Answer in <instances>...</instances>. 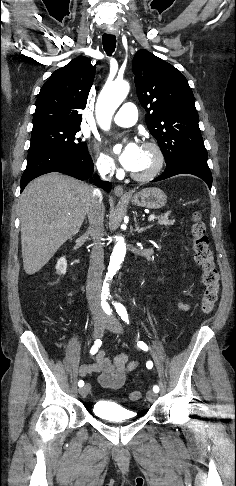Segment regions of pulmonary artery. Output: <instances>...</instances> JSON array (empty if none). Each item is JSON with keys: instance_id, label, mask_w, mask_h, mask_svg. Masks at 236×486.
Wrapping results in <instances>:
<instances>
[{"instance_id": "e3ab8cb5", "label": "pulmonary artery", "mask_w": 236, "mask_h": 486, "mask_svg": "<svg viewBox=\"0 0 236 486\" xmlns=\"http://www.w3.org/2000/svg\"><path fill=\"white\" fill-rule=\"evenodd\" d=\"M138 118V111L136 106L131 103H125L121 106L116 113L113 121L115 124L121 127H130L134 125Z\"/></svg>"}]
</instances>
